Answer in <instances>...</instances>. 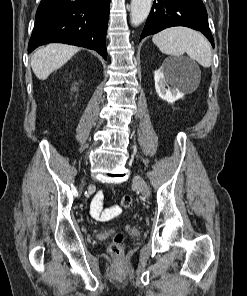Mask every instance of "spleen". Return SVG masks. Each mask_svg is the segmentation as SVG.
I'll use <instances>...</instances> for the list:
<instances>
[{"mask_svg": "<svg viewBox=\"0 0 247 296\" xmlns=\"http://www.w3.org/2000/svg\"><path fill=\"white\" fill-rule=\"evenodd\" d=\"M152 41L160 51L174 57L184 53L203 67H210L212 53L207 39L199 32L186 27H171L155 34Z\"/></svg>", "mask_w": 247, "mask_h": 296, "instance_id": "3e777b00", "label": "spleen"}]
</instances>
